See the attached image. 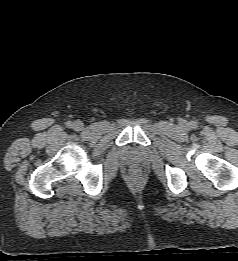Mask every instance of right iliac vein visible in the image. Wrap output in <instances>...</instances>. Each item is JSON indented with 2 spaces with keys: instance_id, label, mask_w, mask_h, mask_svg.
Masks as SVG:
<instances>
[{
  "instance_id": "right-iliac-vein-1",
  "label": "right iliac vein",
  "mask_w": 238,
  "mask_h": 261,
  "mask_svg": "<svg viewBox=\"0 0 238 261\" xmlns=\"http://www.w3.org/2000/svg\"><path fill=\"white\" fill-rule=\"evenodd\" d=\"M84 127L83 123L81 121H75L74 124H73V128L76 130V131H80L82 130Z\"/></svg>"
}]
</instances>
